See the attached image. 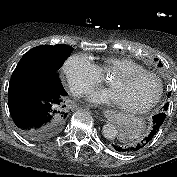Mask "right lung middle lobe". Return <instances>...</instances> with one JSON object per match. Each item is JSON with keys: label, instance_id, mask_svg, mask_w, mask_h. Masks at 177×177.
<instances>
[{"label": "right lung middle lobe", "instance_id": "1", "mask_svg": "<svg viewBox=\"0 0 177 177\" xmlns=\"http://www.w3.org/2000/svg\"><path fill=\"white\" fill-rule=\"evenodd\" d=\"M71 51L72 48L66 45L37 46L23 55L11 79L41 78L61 86L58 70Z\"/></svg>", "mask_w": 177, "mask_h": 177}]
</instances>
